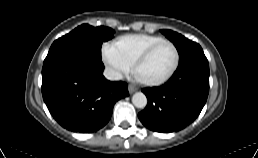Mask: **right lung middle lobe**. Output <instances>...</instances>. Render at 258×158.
<instances>
[{
    "instance_id": "1",
    "label": "right lung middle lobe",
    "mask_w": 258,
    "mask_h": 158,
    "mask_svg": "<svg viewBox=\"0 0 258 158\" xmlns=\"http://www.w3.org/2000/svg\"><path fill=\"white\" fill-rule=\"evenodd\" d=\"M114 31L108 27H92L83 24L69 34L56 40L47 57L63 52L87 53L101 59L102 43L113 37Z\"/></svg>"
}]
</instances>
